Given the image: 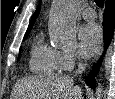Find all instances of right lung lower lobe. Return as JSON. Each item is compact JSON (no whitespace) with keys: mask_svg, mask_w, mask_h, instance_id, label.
Wrapping results in <instances>:
<instances>
[{"mask_svg":"<svg viewBox=\"0 0 115 99\" xmlns=\"http://www.w3.org/2000/svg\"><path fill=\"white\" fill-rule=\"evenodd\" d=\"M115 27V0H111L106 2L105 4V11L103 16V35L105 40V45L108 46ZM100 66V62L97 65L93 66V70L90 72L89 76L86 78V83L92 88L95 89V79L98 69Z\"/></svg>","mask_w":115,"mask_h":99,"instance_id":"1","label":"right lung lower lobe"}]
</instances>
